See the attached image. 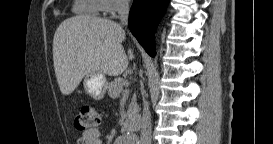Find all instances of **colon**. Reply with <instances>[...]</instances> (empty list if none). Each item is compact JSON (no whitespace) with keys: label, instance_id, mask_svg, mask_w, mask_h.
Instances as JSON below:
<instances>
[{"label":"colon","instance_id":"colon-1","mask_svg":"<svg viewBox=\"0 0 273 144\" xmlns=\"http://www.w3.org/2000/svg\"><path fill=\"white\" fill-rule=\"evenodd\" d=\"M100 123V116L91 104L82 105L76 119L75 126L80 131H87L96 128Z\"/></svg>","mask_w":273,"mask_h":144}]
</instances>
